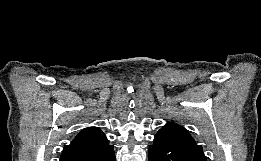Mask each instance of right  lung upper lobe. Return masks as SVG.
I'll list each match as a JSON object with an SVG mask.
<instances>
[{
  "label": "right lung upper lobe",
  "mask_w": 261,
  "mask_h": 161,
  "mask_svg": "<svg viewBox=\"0 0 261 161\" xmlns=\"http://www.w3.org/2000/svg\"><path fill=\"white\" fill-rule=\"evenodd\" d=\"M106 144H108V140L104 133L98 128L90 127L81 131L71 144L66 145L61 155L90 151Z\"/></svg>",
  "instance_id": "1"
}]
</instances>
